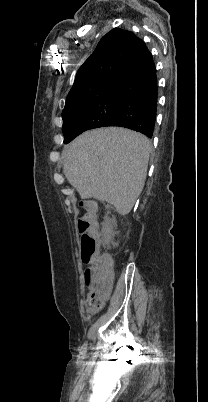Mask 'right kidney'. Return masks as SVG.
<instances>
[{
    "label": "right kidney",
    "mask_w": 208,
    "mask_h": 402,
    "mask_svg": "<svg viewBox=\"0 0 208 402\" xmlns=\"http://www.w3.org/2000/svg\"><path fill=\"white\" fill-rule=\"evenodd\" d=\"M102 236L104 238L105 244H109L111 240L114 238V230L111 224L110 218H105L104 222H102Z\"/></svg>",
    "instance_id": "obj_1"
}]
</instances>
